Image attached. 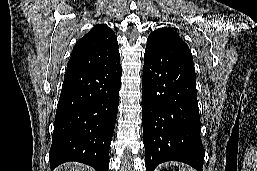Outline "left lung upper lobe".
I'll return each instance as SVG.
<instances>
[{
	"label": "left lung upper lobe",
	"instance_id": "5c2ea615",
	"mask_svg": "<svg viewBox=\"0 0 257 171\" xmlns=\"http://www.w3.org/2000/svg\"><path fill=\"white\" fill-rule=\"evenodd\" d=\"M145 51H170L193 60L188 45L179 37L178 33L169 27L159 28L151 32L147 40Z\"/></svg>",
	"mask_w": 257,
	"mask_h": 171
}]
</instances>
